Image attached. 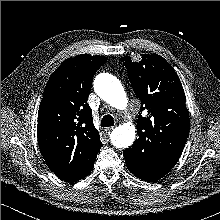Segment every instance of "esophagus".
Returning <instances> with one entry per match:
<instances>
[{
	"instance_id": "1",
	"label": "esophagus",
	"mask_w": 220,
	"mask_h": 220,
	"mask_svg": "<svg viewBox=\"0 0 220 220\" xmlns=\"http://www.w3.org/2000/svg\"><path fill=\"white\" fill-rule=\"evenodd\" d=\"M113 129H114V127H108L106 129H104V132H105V134H109Z\"/></svg>"
}]
</instances>
